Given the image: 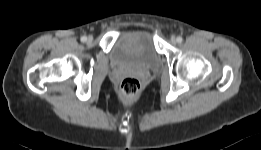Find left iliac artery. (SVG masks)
Returning a JSON list of instances; mask_svg holds the SVG:
<instances>
[{
  "instance_id": "1",
  "label": "left iliac artery",
  "mask_w": 261,
  "mask_h": 150,
  "mask_svg": "<svg viewBox=\"0 0 261 150\" xmlns=\"http://www.w3.org/2000/svg\"><path fill=\"white\" fill-rule=\"evenodd\" d=\"M176 40L178 43H181L183 41V38L181 36H178Z\"/></svg>"
}]
</instances>
